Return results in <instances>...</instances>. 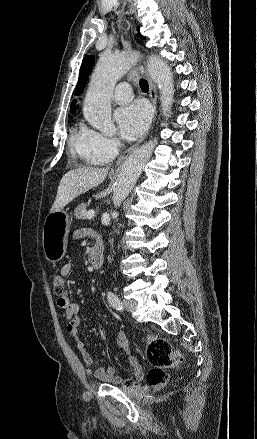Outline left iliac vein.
Here are the masks:
<instances>
[{"mask_svg": "<svg viewBox=\"0 0 257 439\" xmlns=\"http://www.w3.org/2000/svg\"><path fill=\"white\" fill-rule=\"evenodd\" d=\"M123 307L129 312L136 310L137 302L135 300H124Z\"/></svg>", "mask_w": 257, "mask_h": 439, "instance_id": "4c4485c4", "label": "left iliac vein"}]
</instances>
